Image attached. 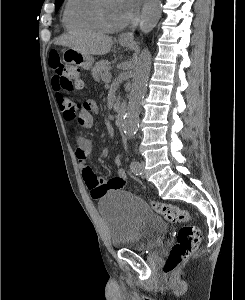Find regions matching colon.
Masks as SVG:
<instances>
[{"label": "colon", "instance_id": "1", "mask_svg": "<svg viewBox=\"0 0 245 300\" xmlns=\"http://www.w3.org/2000/svg\"><path fill=\"white\" fill-rule=\"evenodd\" d=\"M49 66L54 72V77L59 85L67 90L73 91L82 86L79 70L75 67L64 64L57 52H52L49 56ZM152 207L156 213L161 215L170 223L185 224L177 234V241L172 247L166 262L163 266L165 275L173 273L197 248L202 234L198 227L190 224V214L178 206L153 201Z\"/></svg>", "mask_w": 245, "mask_h": 300}]
</instances>
